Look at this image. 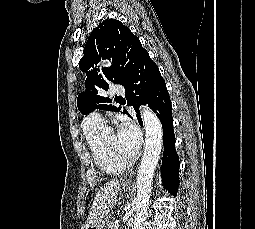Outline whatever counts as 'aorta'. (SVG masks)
<instances>
[{
    "mask_svg": "<svg viewBox=\"0 0 255 229\" xmlns=\"http://www.w3.org/2000/svg\"><path fill=\"white\" fill-rule=\"evenodd\" d=\"M105 66H108V64H105ZM141 116L146 140L144 153L136 177V213L132 229L145 228L151 185L163 143L162 124L156 114L148 107H142Z\"/></svg>",
    "mask_w": 255,
    "mask_h": 229,
    "instance_id": "obj_1",
    "label": "aorta"
}]
</instances>
